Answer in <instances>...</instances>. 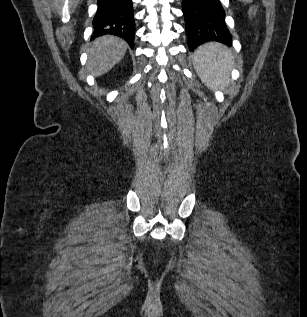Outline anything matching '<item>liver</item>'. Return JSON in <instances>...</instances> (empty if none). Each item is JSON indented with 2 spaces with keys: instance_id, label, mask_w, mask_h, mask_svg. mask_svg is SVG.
<instances>
[{
  "instance_id": "6515ba94",
  "label": "liver",
  "mask_w": 307,
  "mask_h": 317,
  "mask_svg": "<svg viewBox=\"0 0 307 317\" xmlns=\"http://www.w3.org/2000/svg\"><path fill=\"white\" fill-rule=\"evenodd\" d=\"M127 51V43L116 36L105 35L95 39L88 50L87 68L95 77L110 71Z\"/></svg>"
}]
</instances>
